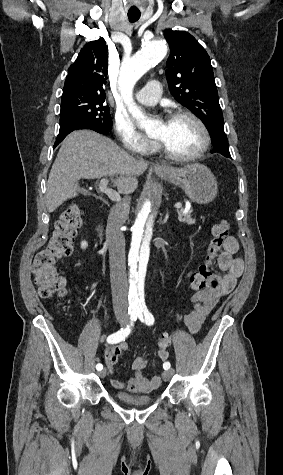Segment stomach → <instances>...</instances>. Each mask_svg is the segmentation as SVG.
Listing matches in <instances>:
<instances>
[{
  "label": "stomach",
  "instance_id": "stomach-1",
  "mask_svg": "<svg viewBox=\"0 0 283 475\" xmlns=\"http://www.w3.org/2000/svg\"><path fill=\"white\" fill-rule=\"evenodd\" d=\"M165 168L167 172H158L156 168L154 172L162 180L182 188L191 202L210 204L216 198L218 192L216 178L207 166L186 164L183 168H172V166H165Z\"/></svg>",
  "mask_w": 283,
  "mask_h": 475
}]
</instances>
